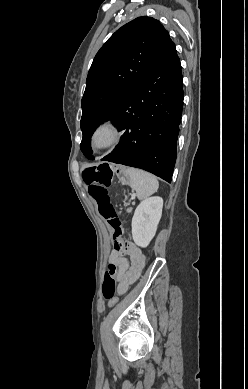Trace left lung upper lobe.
<instances>
[{
    "mask_svg": "<svg viewBox=\"0 0 248 389\" xmlns=\"http://www.w3.org/2000/svg\"><path fill=\"white\" fill-rule=\"evenodd\" d=\"M173 44L156 19L143 16L119 28L100 48L88 72L82 98L80 149L92 156L90 138L134 91L146 73Z\"/></svg>",
    "mask_w": 248,
    "mask_h": 389,
    "instance_id": "left-lung-upper-lobe-1",
    "label": "left lung upper lobe"
}]
</instances>
